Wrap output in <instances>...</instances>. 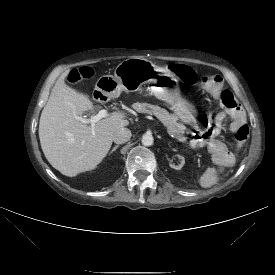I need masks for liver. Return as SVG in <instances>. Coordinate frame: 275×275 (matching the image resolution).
Here are the masks:
<instances>
[{
    "label": "liver",
    "mask_w": 275,
    "mask_h": 275,
    "mask_svg": "<svg viewBox=\"0 0 275 275\" xmlns=\"http://www.w3.org/2000/svg\"><path fill=\"white\" fill-rule=\"evenodd\" d=\"M69 70L53 86L39 121V139L48 162L65 176L93 170L106 157L114 133L129 121L124 113L113 112L94 127L76 117L94 110L87 94L65 83Z\"/></svg>",
    "instance_id": "obj_1"
}]
</instances>
